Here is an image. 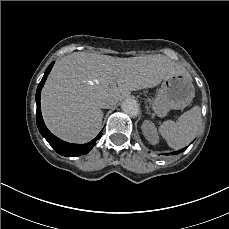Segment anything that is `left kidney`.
<instances>
[{
	"label": "left kidney",
	"instance_id": "1",
	"mask_svg": "<svg viewBox=\"0 0 229 229\" xmlns=\"http://www.w3.org/2000/svg\"><path fill=\"white\" fill-rule=\"evenodd\" d=\"M142 132L145 135L146 139L151 143V144H156L158 141V135L156 132V129L154 125L149 122L145 121L142 126Z\"/></svg>",
	"mask_w": 229,
	"mask_h": 229
}]
</instances>
